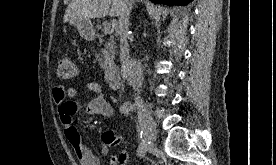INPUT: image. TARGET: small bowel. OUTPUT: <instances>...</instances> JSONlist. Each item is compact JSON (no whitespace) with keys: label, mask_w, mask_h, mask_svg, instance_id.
<instances>
[{"label":"small bowel","mask_w":276,"mask_h":165,"mask_svg":"<svg viewBox=\"0 0 276 165\" xmlns=\"http://www.w3.org/2000/svg\"><path fill=\"white\" fill-rule=\"evenodd\" d=\"M85 90L91 97L81 104L76 98L81 97L84 92L77 87H65L58 85L53 88L52 98L57 106L60 124L63 133L73 148L81 165H100L98 157L92 152L88 145L82 140L76 126L73 124V117L79 110H84L89 115H99L103 118H110L113 114L111 104L105 98L102 87L97 82H88ZM97 123V120H95ZM103 153H107V146L102 147ZM128 154L120 152L110 156L109 165H127Z\"/></svg>","instance_id":"small-bowel-1"}]
</instances>
